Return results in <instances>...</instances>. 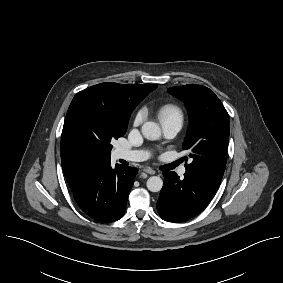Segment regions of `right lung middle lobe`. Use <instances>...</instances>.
<instances>
[{"label":"right lung middle lobe","mask_w":283,"mask_h":283,"mask_svg":"<svg viewBox=\"0 0 283 283\" xmlns=\"http://www.w3.org/2000/svg\"><path fill=\"white\" fill-rule=\"evenodd\" d=\"M137 105L117 94L89 87L73 98L63 128L70 140L87 154L110 158L111 141L126 133Z\"/></svg>","instance_id":"dd1d6c3e"}]
</instances>
